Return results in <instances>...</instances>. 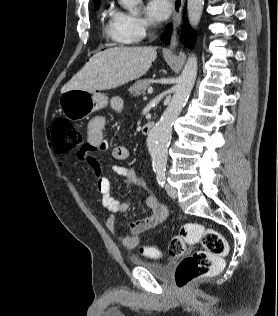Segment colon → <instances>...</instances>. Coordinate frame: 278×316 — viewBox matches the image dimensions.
<instances>
[{
  "instance_id": "1",
  "label": "colon",
  "mask_w": 278,
  "mask_h": 316,
  "mask_svg": "<svg viewBox=\"0 0 278 316\" xmlns=\"http://www.w3.org/2000/svg\"><path fill=\"white\" fill-rule=\"evenodd\" d=\"M52 145L57 153L72 151L84 141L83 132L70 121L58 118L51 126ZM200 242L202 250L185 256L175 270V283L178 288H187L194 280L222 270L228 246L224 237L214 228L199 223H187L169 243V253L180 257L186 245ZM142 252L151 257H159L160 252L153 248H143Z\"/></svg>"
}]
</instances>
